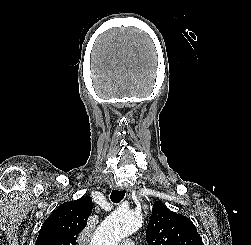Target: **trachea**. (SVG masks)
<instances>
[{"instance_id":"obj_1","label":"trachea","mask_w":251,"mask_h":245,"mask_svg":"<svg viewBox=\"0 0 251 245\" xmlns=\"http://www.w3.org/2000/svg\"><path fill=\"white\" fill-rule=\"evenodd\" d=\"M125 196V191L124 190H112V193H111V201L113 203H119Z\"/></svg>"}]
</instances>
